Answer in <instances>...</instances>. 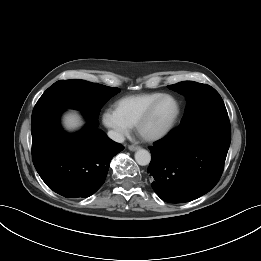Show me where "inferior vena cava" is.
I'll return each mask as SVG.
<instances>
[{"mask_svg": "<svg viewBox=\"0 0 261 261\" xmlns=\"http://www.w3.org/2000/svg\"><path fill=\"white\" fill-rule=\"evenodd\" d=\"M108 137L118 143H123L125 140V138L122 134H120L116 131H113V130L108 131Z\"/></svg>", "mask_w": 261, "mask_h": 261, "instance_id": "obj_1", "label": "inferior vena cava"}]
</instances>
